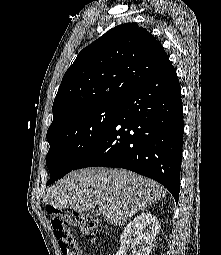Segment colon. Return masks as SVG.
<instances>
[{
    "label": "colon",
    "instance_id": "colon-1",
    "mask_svg": "<svg viewBox=\"0 0 221 255\" xmlns=\"http://www.w3.org/2000/svg\"><path fill=\"white\" fill-rule=\"evenodd\" d=\"M49 212L54 235L64 255H82L71 233V227H77L90 240L97 238L99 225L94 216L72 211H63L55 207H50Z\"/></svg>",
    "mask_w": 221,
    "mask_h": 255
}]
</instances>
